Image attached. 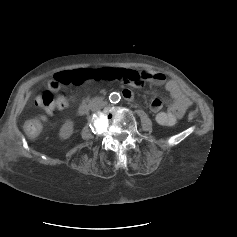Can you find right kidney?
Instances as JSON below:
<instances>
[{"instance_id":"obj_1","label":"right kidney","mask_w":237,"mask_h":237,"mask_svg":"<svg viewBox=\"0 0 237 237\" xmlns=\"http://www.w3.org/2000/svg\"><path fill=\"white\" fill-rule=\"evenodd\" d=\"M73 134V122L72 121H66L59 132V137L62 140L68 139Z\"/></svg>"}]
</instances>
